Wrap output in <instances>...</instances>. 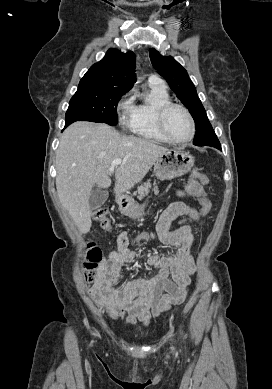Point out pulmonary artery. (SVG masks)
I'll list each match as a JSON object with an SVG mask.
<instances>
[{
    "mask_svg": "<svg viewBox=\"0 0 272 389\" xmlns=\"http://www.w3.org/2000/svg\"><path fill=\"white\" fill-rule=\"evenodd\" d=\"M149 84H154V85H161L164 86L163 82L161 79H159L156 76H151L148 80Z\"/></svg>",
    "mask_w": 272,
    "mask_h": 389,
    "instance_id": "e3ab8cb5",
    "label": "pulmonary artery"
}]
</instances>
